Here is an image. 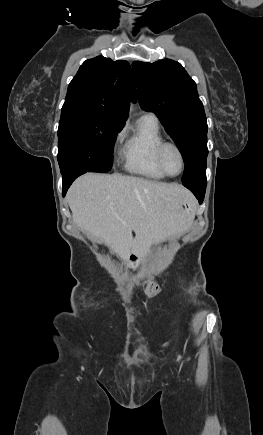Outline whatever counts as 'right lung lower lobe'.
Wrapping results in <instances>:
<instances>
[{"label": "right lung lower lobe", "mask_w": 263, "mask_h": 435, "mask_svg": "<svg viewBox=\"0 0 263 435\" xmlns=\"http://www.w3.org/2000/svg\"><path fill=\"white\" fill-rule=\"evenodd\" d=\"M86 173V171H72L68 173L67 175L62 177V184H63V196H65L68 188L72 184V182L80 175Z\"/></svg>", "instance_id": "98d812e1"}]
</instances>
